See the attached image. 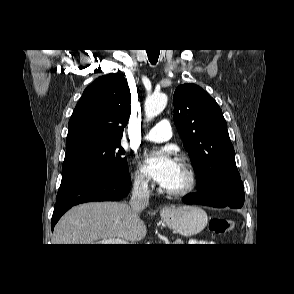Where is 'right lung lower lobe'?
I'll use <instances>...</instances> for the list:
<instances>
[{
    "mask_svg": "<svg viewBox=\"0 0 294 294\" xmlns=\"http://www.w3.org/2000/svg\"><path fill=\"white\" fill-rule=\"evenodd\" d=\"M130 176L95 171L75 173L62 179L52 216V231L71 207L90 201H116L128 195Z\"/></svg>",
    "mask_w": 294,
    "mask_h": 294,
    "instance_id": "right-lung-lower-lobe-1",
    "label": "right lung lower lobe"
}]
</instances>
